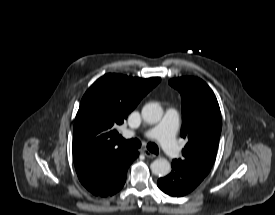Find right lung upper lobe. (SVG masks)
I'll list each match as a JSON object with an SVG mask.
<instances>
[{
    "instance_id": "cb5924a9",
    "label": "right lung upper lobe",
    "mask_w": 275,
    "mask_h": 215,
    "mask_svg": "<svg viewBox=\"0 0 275 215\" xmlns=\"http://www.w3.org/2000/svg\"><path fill=\"white\" fill-rule=\"evenodd\" d=\"M160 80L106 74L91 85L74 123L73 160L77 173L100 158L131 150L116 140V127Z\"/></svg>"
}]
</instances>
